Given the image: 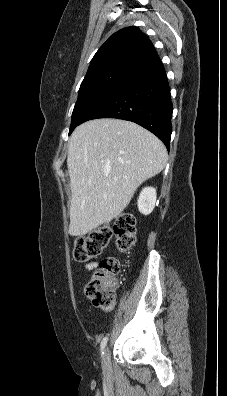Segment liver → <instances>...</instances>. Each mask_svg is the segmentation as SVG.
Returning <instances> with one entry per match:
<instances>
[{
	"label": "liver",
	"instance_id": "6515ba94",
	"mask_svg": "<svg viewBox=\"0 0 227 396\" xmlns=\"http://www.w3.org/2000/svg\"><path fill=\"white\" fill-rule=\"evenodd\" d=\"M166 162L163 143L133 122L106 118L79 125L68 144L69 234L83 236L119 216Z\"/></svg>",
	"mask_w": 227,
	"mask_h": 396
}]
</instances>
